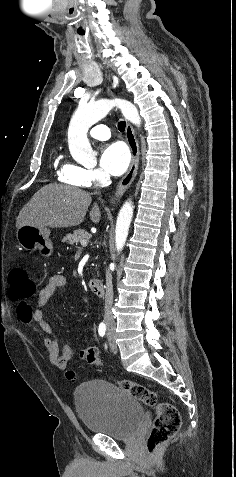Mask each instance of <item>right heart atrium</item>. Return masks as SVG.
<instances>
[{"mask_svg": "<svg viewBox=\"0 0 236 477\" xmlns=\"http://www.w3.org/2000/svg\"><path fill=\"white\" fill-rule=\"evenodd\" d=\"M62 178L65 182L75 186L90 187L105 181L107 175L98 168H85L69 164L64 166Z\"/></svg>", "mask_w": 236, "mask_h": 477, "instance_id": "d8ad5b80", "label": "right heart atrium"}]
</instances>
